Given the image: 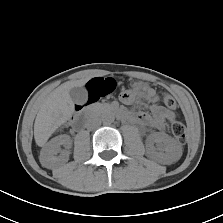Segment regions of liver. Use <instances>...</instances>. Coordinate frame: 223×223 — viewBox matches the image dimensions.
<instances>
[{
	"mask_svg": "<svg viewBox=\"0 0 223 223\" xmlns=\"http://www.w3.org/2000/svg\"><path fill=\"white\" fill-rule=\"evenodd\" d=\"M87 81L88 78L65 82L44 100L34 123V138L38 146L43 147L51 135L72 117L74 102L69 92Z\"/></svg>",
	"mask_w": 223,
	"mask_h": 223,
	"instance_id": "1",
	"label": "liver"
}]
</instances>
